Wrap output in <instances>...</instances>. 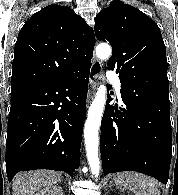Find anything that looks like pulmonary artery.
<instances>
[{
    "mask_svg": "<svg viewBox=\"0 0 178 195\" xmlns=\"http://www.w3.org/2000/svg\"><path fill=\"white\" fill-rule=\"evenodd\" d=\"M109 81L115 86L118 95H120V89H121L120 79L114 74H110Z\"/></svg>",
    "mask_w": 178,
    "mask_h": 195,
    "instance_id": "pulmonary-artery-1",
    "label": "pulmonary artery"
}]
</instances>
